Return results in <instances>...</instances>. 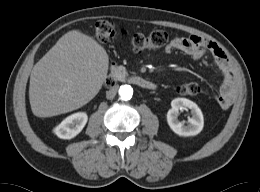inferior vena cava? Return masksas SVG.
<instances>
[{"label":"inferior vena cava","instance_id":"obj_1","mask_svg":"<svg viewBox=\"0 0 260 192\" xmlns=\"http://www.w3.org/2000/svg\"><path fill=\"white\" fill-rule=\"evenodd\" d=\"M116 89L115 88H111L110 90H108L107 92H106V98L107 99H113L114 97H115V95H116Z\"/></svg>","mask_w":260,"mask_h":192}]
</instances>
